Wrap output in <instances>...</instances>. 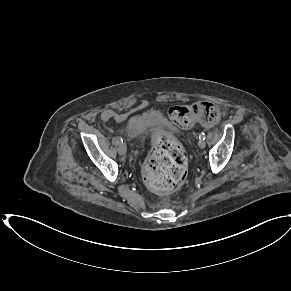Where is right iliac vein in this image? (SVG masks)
<instances>
[{
    "label": "right iliac vein",
    "mask_w": 291,
    "mask_h": 291,
    "mask_svg": "<svg viewBox=\"0 0 291 291\" xmlns=\"http://www.w3.org/2000/svg\"><path fill=\"white\" fill-rule=\"evenodd\" d=\"M126 152H127L126 144L125 143H120L119 146H118V153L121 156H125Z\"/></svg>",
    "instance_id": "obj_1"
}]
</instances>
